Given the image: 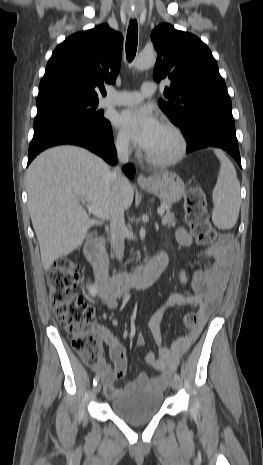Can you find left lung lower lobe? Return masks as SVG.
I'll use <instances>...</instances> for the list:
<instances>
[{"label":"left lung lower lobe","instance_id":"0a47b994","mask_svg":"<svg viewBox=\"0 0 263 465\" xmlns=\"http://www.w3.org/2000/svg\"><path fill=\"white\" fill-rule=\"evenodd\" d=\"M184 136L188 141L187 153L207 147L221 148L227 151L241 167L233 118L217 113L209 114L194 130L185 133Z\"/></svg>","mask_w":263,"mask_h":465}]
</instances>
